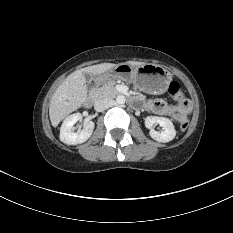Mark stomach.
<instances>
[{
    "mask_svg": "<svg viewBox=\"0 0 233 233\" xmlns=\"http://www.w3.org/2000/svg\"><path fill=\"white\" fill-rule=\"evenodd\" d=\"M97 85L114 80H123L134 83L141 90L151 94H163L171 80L172 74L160 65L145 63L132 66L122 63L94 76Z\"/></svg>",
    "mask_w": 233,
    "mask_h": 233,
    "instance_id": "obj_1",
    "label": "stomach"
}]
</instances>
